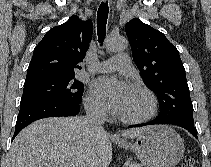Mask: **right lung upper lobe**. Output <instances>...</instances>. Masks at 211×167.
Returning a JSON list of instances; mask_svg holds the SVG:
<instances>
[{"label": "right lung upper lobe", "instance_id": "cb5924a9", "mask_svg": "<svg viewBox=\"0 0 211 167\" xmlns=\"http://www.w3.org/2000/svg\"><path fill=\"white\" fill-rule=\"evenodd\" d=\"M93 31L92 21L73 15L48 31L34 49L26 80L50 76H74L81 69ZM25 80V81H26Z\"/></svg>", "mask_w": 211, "mask_h": 167}]
</instances>
